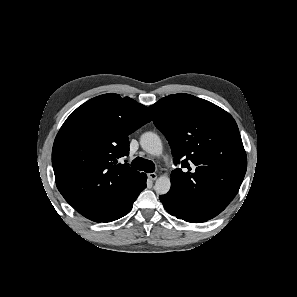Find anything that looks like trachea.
Instances as JSON below:
<instances>
[{
	"label": "trachea",
	"mask_w": 297,
	"mask_h": 297,
	"mask_svg": "<svg viewBox=\"0 0 297 297\" xmlns=\"http://www.w3.org/2000/svg\"><path fill=\"white\" fill-rule=\"evenodd\" d=\"M131 167L140 170V171H145L147 173H152L155 171V164L152 161L145 160L144 158L141 157H136L132 163Z\"/></svg>",
	"instance_id": "trachea-1"
}]
</instances>
